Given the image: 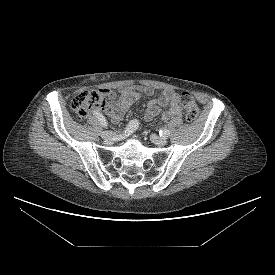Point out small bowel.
Wrapping results in <instances>:
<instances>
[{
    "mask_svg": "<svg viewBox=\"0 0 275 275\" xmlns=\"http://www.w3.org/2000/svg\"><path fill=\"white\" fill-rule=\"evenodd\" d=\"M101 93L108 100L107 106L103 111L115 123L119 122L131 106L144 95L152 96L156 94V97L147 104L145 120L169 121L180 117L182 114L180 96L169 88L156 93L147 86H123L118 89L119 97H117L115 91L110 89H102ZM165 107L167 109L162 113L161 109Z\"/></svg>",
    "mask_w": 275,
    "mask_h": 275,
    "instance_id": "obj_1",
    "label": "small bowel"
}]
</instances>
